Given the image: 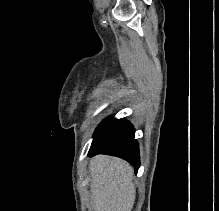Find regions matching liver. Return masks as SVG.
Segmentation results:
<instances>
[{"label":"liver","mask_w":219,"mask_h":211,"mask_svg":"<svg viewBox=\"0 0 219 211\" xmlns=\"http://www.w3.org/2000/svg\"><path fill=\"white\" fill-rule=\"evenodd\" d=\"M89 169L94 211H131L136 195L132 165L119 157L95 155Z\"/></svg>","instance_id":"1"}]
</instances>
